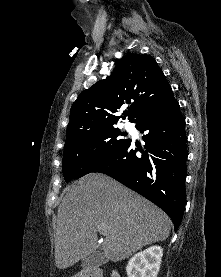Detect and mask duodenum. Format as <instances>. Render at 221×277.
<instances>
[{"instance_id": "410a0bca", "label": "duodenum", "mask_w": 221, "mask_h": 277, "mask_svg": "<svg viewBox=\"0 0 221 277\" xmlns=\"http://www.w3.org/2000/svg\"><path fill=\"white\" fill-rule=\"evenodd\" d=\"M83 277H102V275H101V271L99 269L92 268V269L87 270L84 273ZM111 277H120V276L116 271H113L111 273Z\"/></svg>"}]
</instances>
